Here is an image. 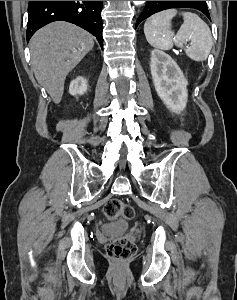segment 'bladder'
Wrapping results in <instances>:
<instances>
[{"label": "bladder", "mask_w": 237, "mask_h": 300, "mask_svg": "<svg viewBox=\"0 0 237 300\" xmlns=\"http://www.w3.org/2000/svg\"><path fill=\"white\" fill-rule=\"evenodd\" d=\"M125 223L123 221L111 222L104 226L103 230L109 235L118 234L125 229Z\"/></svg>", "instance_id": "31cf9c89"}]
</instances>
